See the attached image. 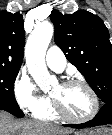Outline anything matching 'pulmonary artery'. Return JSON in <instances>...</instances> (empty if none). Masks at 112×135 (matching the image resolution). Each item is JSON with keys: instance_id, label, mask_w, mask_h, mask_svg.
I'll return each mask as SVG.
<instances>
[{"instance_id": "obj_1", "label": "pulmonary artery", "mask_w": 112, "mask_h": 135, "mask_svg": "<svg viewBox=\"0 0 112 135\" xmlns=\"http://www.w3.org/2000/svg\"><path fill=\"white\" fill-rule=\"evenodd\" d=\"M49 68L56 72H62L66 67V58L63 51L56 45L50 46L45 57Z\"/></svg>"}]
</instances>
